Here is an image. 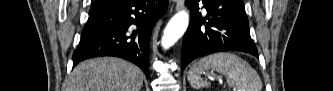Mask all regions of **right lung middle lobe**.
I'll return each mask as SVG.
<instances>
[{"label":"right lung middle lobe","instance_id":"obj_1","mask_svg":"<svg viewBox=\"0 0 333 91\" xmlns=\"http://www.w3.org/2000/svg\"><path fill=\"white\" fill-rule=\"evenodd\" d=\"M114 1H116V0H100V1L95 0L94 4H107V3L114 2Z\"/></svg>","mask_w":333,"mask_h":91}]
</instances>
